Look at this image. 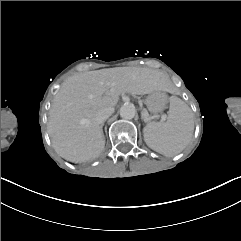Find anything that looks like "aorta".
Listing matches in <instances>:
<instances>
[{"instance_id":"762f6f07","label":"aorta","mask_w":241,"mask_h":241,"mask_svg":"<svg viewBox=\"0 0 241 241\" xmlns=\"http://www.w3.org/2000/svg\"><path fill=\"white\" fill-rule=\"evenodd\" d=\"M136 115V108L133 104L131 103H126L121 106L120 108V116L123 119H132Z\"/></svg>"}]
</instances>
